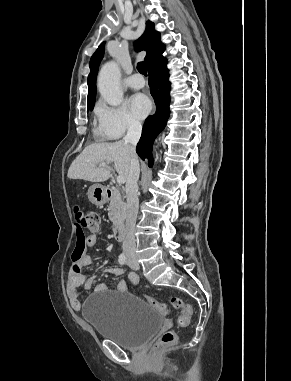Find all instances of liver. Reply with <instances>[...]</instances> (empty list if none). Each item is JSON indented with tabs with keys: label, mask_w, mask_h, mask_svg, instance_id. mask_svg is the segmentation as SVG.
Masks as SVG:
<instances>
[{
	"label": "liver",
	"mask_w": 291,
	"mask_h": 381,
	"mask_svg": "<svg viewBox=\"0 0 291 381\" xmlns=\"http://www.w3.org/2000/svg\"><path fill=\"white\" fill-rule=\"evenodd\" d=\"M101 163L113 164L119 177L127 180L130 168L129 148L124 141L93 143L85 147L72 162L68 178L90 182H103L111 177L110 170L97 166Z\"/></svg>",
	"instance_id": "obj_1"
}]
</instances>
